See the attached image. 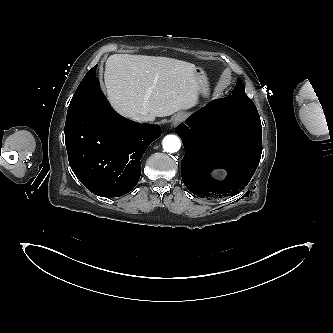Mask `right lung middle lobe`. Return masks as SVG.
I'll return each mask as SVG.
<instances>
[{"label": "right lung middle lobe", "instance_id": "obj_1", "mask_svg": "<svg viewBox=\"0 0 333 333\" xmlns=\"http://www.w3.org/2000/svg\"><path fill=\"white\" fill-rule=\"evenodd\" d=\"M96 68L97 65L94 66L83 78L81 83L79 84L70 104L68 107V112L76 107H79L83 103V98L89 92L91 87L96 83L99 82L98 78L96 77Z\"/></svg>", "mask_w": 333, "mask_h": 333}]
</instances>
